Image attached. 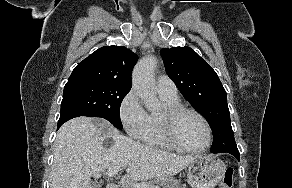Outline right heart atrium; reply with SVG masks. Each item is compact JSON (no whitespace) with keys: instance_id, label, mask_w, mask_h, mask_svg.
I'll list each match as a JSON object with an SVG mask.
<instances>
[{"instance_id":"right-heart-atrium-1","label":"right heart atrium","mask_w":292,"mask_h":188,"mask_svg":"<svg viewBox=\"0 0 292 188\" xmlns=\"http://www.w3.org/2000/svg\"><path fill=\"white\" fill-rule=\"evenodd\" d=\"M118 113L129 136L140 139L148 124V113L134 89L122 98Z\"/></svg>"}]
</instances>
